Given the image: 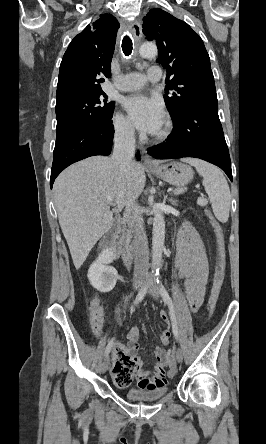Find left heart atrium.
I'll return each instance as SVG.
<instances>
[{
	"instance_id": "left-heart-atrium-1",
	"label": "left heart atrium",
	"mask_w": 266,
	"mask_h": 444,
	"mask_svg": "<svg viewBox=\"0 0 266 444\" xmlns=\"http://www.w3.org/2000/svg\"><path fill=\"white\" fill-rule=\"evenodd\" d=\"M125 109L135 126L149 134H156L163 125L164 110L155 98L134 94L125 101Z\"/></svg>"
}]
</instances>
